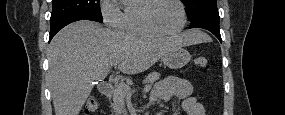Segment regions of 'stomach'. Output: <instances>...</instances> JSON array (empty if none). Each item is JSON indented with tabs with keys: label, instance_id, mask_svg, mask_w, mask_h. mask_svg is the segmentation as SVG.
Returning <instances> with one entry per match:
<instances>
[{
	"label": "stomach",
	"instance_id": "0dacf381",
	"mask_svg": "<svg viewBox=\"0 0 285 115\" xmlns=\"http://www.w3.org/2000/svg\"><path fill=\"white\" fill-rule=\"evenodd\" d=\"M190 59V53L182 47H176L162 56L163 64L171 69L182 68Z\"/></svg>",
	"mask_w": 285,
	"mask_h": 115
}]
</instances>
